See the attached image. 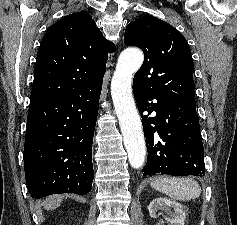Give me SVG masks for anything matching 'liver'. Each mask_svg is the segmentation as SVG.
<instances>
[{"mask_svg": "<svg viewBox=\"0 0 237 225\" xmlns=\"http://www.w3.org/2000/svg\"><path fill=\"white\" fill-rule=\"evenodd\" d=\"M62 199H63V196L61 195L49 196L43 202V207L46 210H55L58 206H60Z\"/></svg>", "mask_w": 237, "mask_h": 225, "instance_id": "liver-1", "label": "liver"}]
</instances>
